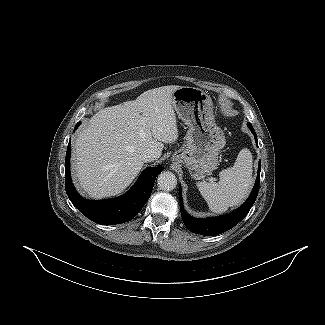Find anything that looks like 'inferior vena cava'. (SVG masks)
I'll return each mask as SVG.
<instances>
[{"label": "inferior vena cava", "mask_w": 325, "mask_h": 325, "mask_svg": "<svg viewBox=\"0 0 325 325\" xmlns=\"http://www.w3.org/2000/svg\"><path fill=\"white\" fill-rule=\"evenodd\" d=\"M143 162H152L158 158L157 153L152 149H146L141 153Z\"/></svg>", "instance_id": "1"}]
</instances>
